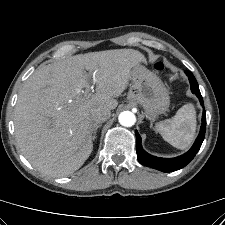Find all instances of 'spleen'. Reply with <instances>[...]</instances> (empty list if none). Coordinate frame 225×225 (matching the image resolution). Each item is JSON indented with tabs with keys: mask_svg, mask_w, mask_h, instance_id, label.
I'll return each mask as SVG.
<instances>
[{
	"mask_svg": "<svg viewBox=\"0 0 225 225\" xmlns=\"http://www.w3.org/2000/svg\"><path fill=\"white\" fill-rule=\"evenodd\" d=\"M156 131L165 141L178 149L187 148L196 130V112L192 104L183 105L171 119L155 124Z\"/></svg>",
	"mask_w": 225,
	"mask_h": 225,
	"instance_id": "3e777b00",
	"label": "spleen"
}]
</instances>
